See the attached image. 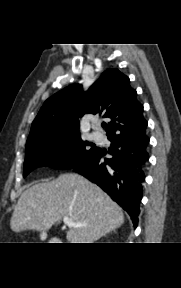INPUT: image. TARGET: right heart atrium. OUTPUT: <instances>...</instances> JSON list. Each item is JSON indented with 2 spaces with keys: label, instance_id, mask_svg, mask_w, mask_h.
Returning <instances> with one entry per match:
<instances>
[{
  "label": "right heart atrium",
  "instance_id": "1",
  "mask_svg": "<svg viewBox=\"0 0 181 288\" xmlns=\"http://www.w3.org/2000/svg\"><path fill=\"white\" fill-rule=\"evenodd\" d=\"M58 153H59L60 155H65V154H66V148H65L64 146H60V147L58 148Z\"/></svg>",
  "mask_w": 181,
  "mask_h": 288
}]
</instances>
